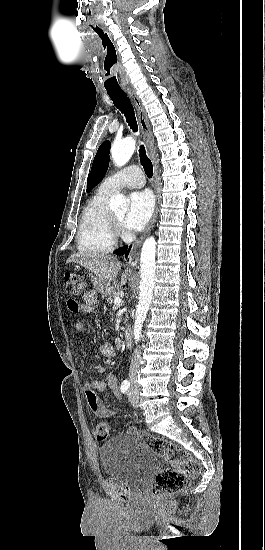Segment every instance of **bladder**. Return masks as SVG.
I'll return each mask as SVG.
<instances>
[{
	"label": "bladder",
	"instance_id": "31cf9c89",
	"mask_svg": "<svg viewBox=\"0 0 265 550\" xmlns=\"http://www.w3.org/2000/svg\"><path fill=\"white\" fill-rule=\"evenodd\" d=\"M102 472L129 486L144 482L158 467L159 456L143 445L137 436L122 434L99 449Z\"/></svg>",
	"mask_w": 265,
	"mask_h": 550
}]
</instances>
